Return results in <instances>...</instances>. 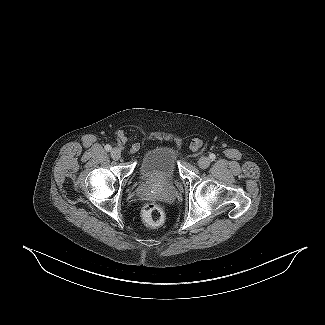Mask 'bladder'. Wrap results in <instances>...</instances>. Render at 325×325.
<instances>
[{
    "label": "bladder",
    "mask_w": 325,
    "mask_h": 325,
    "mask_svg": "<svg viewBox=\"0 0 325 325\" xmlns=\"http://www.w3.org/2000/svg\"><path fill=\"white\" fill-rule=\"evenodd\" d=\"M178 152L172 146H157L151 149L141 160L139 176L146 182H171L177 174Z\"/></svg>",
    "instance_id": "31cf9c89"
}]
</instances>
